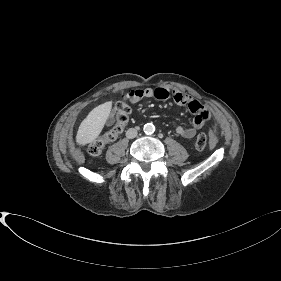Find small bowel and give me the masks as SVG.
<instances>
[{
  "instance_id": "small-bowel-1",
  "label": "small bowel",
  "mask_w": 281,
  "mask_h": 281,
  "mask_svg": "<svg viewBox=\"0 0 281 281\" xmlns=\"http://www.w3.org/2000/svg\"><path fill=\"white\" fill-rule=\"evenodd\" d=\"M150 98H154L157 100L172 99L176 104L186 106L189 109V111L194 116L193 126L190 128L178 126L176 128V133L186 139L193 138L197 134V132L202 129L205 122L210 116L209 109L200 101L177 90L172 91L167 88L137 89L132 90L123 96L124 100H127L131 103H137L142 99Z\"/></svg>"
}]
</instances>
